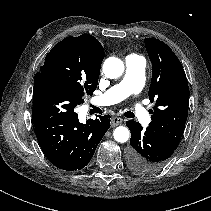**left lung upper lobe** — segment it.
<instances>
[{"label":"left lung upper lobe","mask_w":211,"mask_h":211,"mask_svg":"<svg viewBox=\"0 0 211 211\" xmlns=\"http://www.w3.org/2000/svg\"><path fill=\"white\" fill-rule=\"evenodd\" d=\"M152 63L149 99L156 102L149 128L178 147L188 116L189 87L184 69L174 52L158 39L146 38Z\"/></svg>","instance_id":"left-lung-upper-lobe-1"}]
</instances>
